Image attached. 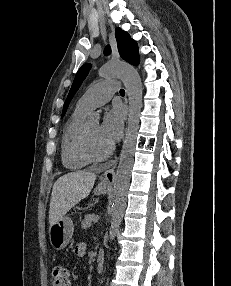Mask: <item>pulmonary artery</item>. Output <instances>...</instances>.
<instances>
[{
	"label": "pulmonary artery",
	"instance_id": "obj_1",
	"mask_svg": "<svg viewBox=\"0 0 231 286\" xmlns=\"http://www.w3.org/2000/svg\"><path fill=\"white\" fill-rule=\"evenodd\" d=\"M118 90L115 80L101 81L89 88L78 100L77 107L86 111L104 105Z\"/></svg>",
	"mask_w": 231,
	"mask_h": 286
}]
</instances>
